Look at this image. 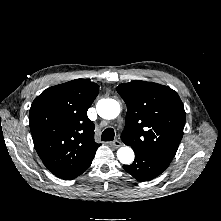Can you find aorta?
Instances as JSON below:
<instances>
[{
	"label": "aorta",
	"mask_w": 221,
	"mask_h": 221,
	"mask_svg": "<svg viewBox=\"0 0 221 221\" xmlns=\"http://www.w3.org/2000/svg\"><path fill=\"white\" fill-rule=\"evenodd\" d=\"M96 109L100 117L110 120L119 115L121 106L118 101L108 98L98 101ZM134 157L133 150L128 146L121 147L117 151V158L122 164H131L134 161Z\"/></svg>",
	"instance_id": "aorta-1"
}]
</instances>
